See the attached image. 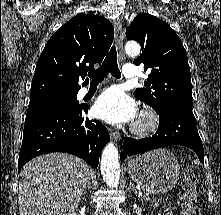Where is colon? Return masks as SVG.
Returning a JSON list of instances; mask_svg holds the SVG:
<instances>
[{
    "label": "colon",
    "instance_id": "obj_1",
    "mask_svg": "<svg viewBox=\"0 0 221 215\" xmlns=\"http://www.w3.org/2000/svg\"><path fill=\"white\" fill-rule=\"evenodd\" d=\"M195 184L196 179L190 170H186L183 179V195L180 199L182 215H199V211L195 206Z\"/></svg>",
    "mask_w": 221,
    "mask_h": 215
}]
</instances>
